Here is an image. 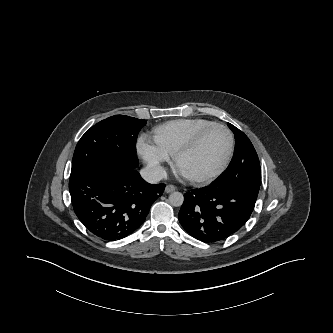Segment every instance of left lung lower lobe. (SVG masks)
I'll list each match as a JSON object with an SVG mask.
<instances>
[{"label": "left lung lower lobe", "instance_id": "obj_1", "mask_svg": "<svg viewBox=\"0 0 333 333\" xmlns=\"http://www.w3.org/2000/svg\"><path fill=\"white\" fill-rule=\"evenodd\" d=\"M256 199V196L242 189L212 183L184 195L178 214L179 222L200 241H222L247 222Z\"/></svg>", "mask_w": 333, "mask_h": 333}]
</instances>
